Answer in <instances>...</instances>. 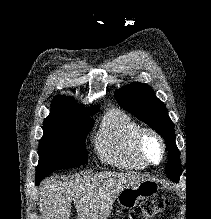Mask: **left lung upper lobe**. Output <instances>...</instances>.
Masks as SVG:
<instances>
[{"instance_id":"1","label":"left lung upper lobe","mask_w":211,"mask_h":219,"mask_svg":"<svg viewBox=\"0 0 211 219\" xmlns=\"http://www.w3.org/2000/svg\"><path fill=\"white\" fill-rule=\"evenodd\" d=\"M117 102L125 110L135 115L141 121L147 123L166 140L169 151L179 150L175 143L174 125L168 116L166 107L144 83H131L120 88L115 93ZM166 174L174 182L180 177V161L175 164L167 162Z\"/></svg>"}]
</instances>
